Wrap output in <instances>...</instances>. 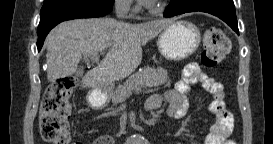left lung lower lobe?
I'll return each instance as SVG.
<instances>
[{
	"label": "left lung lower lobe",
	"instance_id": "0a47b994",
	"mask_svg": "<svg viewBox=\"0 0 273 144\" xmlns=\"http://www.w3.org/2000/svg\"><path fill=\"white\" fill-rule=\"evenodd\" d=\"M194 11L207 12L219 17L239 34L233 0H171L164 17Z\"/></svg>",
	"mask_w": 273,
	"mask_h": 144
}]
</instances>
